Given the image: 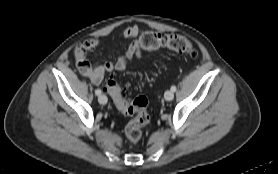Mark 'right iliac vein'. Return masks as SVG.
Instances as JSON below:
<instances>
[{
    "mask_svg": "<svg viewBox=\"0 0 278 174\" xmlns=\"http://www.w3.org/2000/svg\"><path fill=\"white\" fill-rule=\"evenodd\" d=\"M98 101H99L100 104L105 105L107 103L108 99L105 95H100L98 97Z\"/></svg>",
    "mask_w": 278,
    "mask_h": 174,
    "instance_id": "63e3f726",
    "label": "right iliac vein"
}]
</instances>
